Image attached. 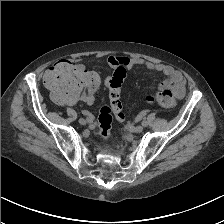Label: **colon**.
I'll return each mask as SVG.
<instances>
[{"label": "colon", "mask_w": 224, "mask_h": 224, "mask_svg": "<svg viewBox=\"0 0 224 224\" xmlns=\"http://www.w3.org/2000/svg\"><path fill=\"white\" fill-rule=\"evenodd\" d=\"M125 76L124 68H116L108 82L109 103L101 107L98 116L99 136L102 140L110 138L113 115L123 122L120 91ZM44 81L55 100L67 105L77 103L99 86V77L95 73L67 60L58 61L50 67ZM148 100L164 108H173L176 105L175 96L170 90L149 95Z\"/></svg>", "instance_id": "colon-1"}]
</instances>
